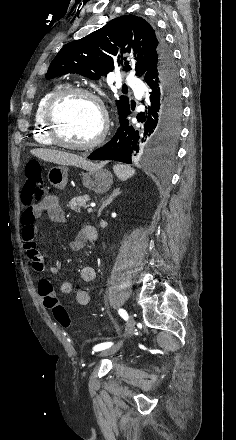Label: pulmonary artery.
Returning a JSON list of instances; mask_svg holds the SVG:
<instances>
[{"label":"pulmonary artery","instance_id":"1","mask_svg":"<svg viewBox=\"0 0 236 440\" xmlns=\"http://www.w3.org/2000/svg\"><path fill=\"white\" fill-rule=\"evenodd\" d=\"M125 83L135 91L141 92L144 90L142 82L131 75L126 77Z\"/></svg>","mask_w":236,"mask_h":440}]
</instances>
